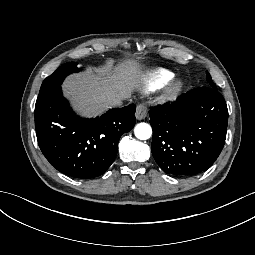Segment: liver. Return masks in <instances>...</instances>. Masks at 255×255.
I'll return each instance as SVG.
<instances>
[{
  "label": "liver",
  "instance_id": "1",
  "mask_svg": "<svg viewBox=\"0 0 255 255\" xmlns=\"http://www.w3.org/2000/svg\"><path fill=\"white\" fill-rule=\"evenodd\" d=\"M138 78L137 69L128 62L114 72L113 68L109 67L97 72L89 70L85 75L72 76L64 88L79 110L86 115H92L105 109L111 98L130 97V91L138 87Z\"/></svg>",
  "mask_w": 255,
  "mask_h": 255
}]
</instances>
